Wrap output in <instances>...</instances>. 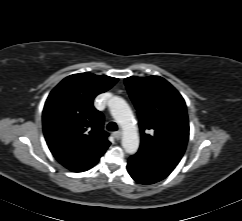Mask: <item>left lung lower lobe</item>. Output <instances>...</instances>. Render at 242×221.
I'll return each mask as SVG.
<instances>
[{
  "instance_id": "1",
  "label": "left lung lower lobe",
  "mask_w": 242,
  "mask_h": 221,
  "mask_svg": "<svg viewBox=\"0 0 242 221\" xmlns=\"http://www.w3.org/2000/svg\"><path fill=\"white\" fill-rule=\"evenodd\" d=\"M176 167L171 161L139 149L128 159L127 170L138 183L153 184L166 178Z\"/></svg>"
}]
</instances>
